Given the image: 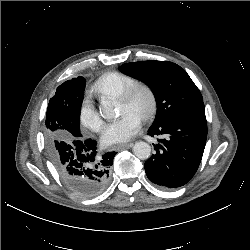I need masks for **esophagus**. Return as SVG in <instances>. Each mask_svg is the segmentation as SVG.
<instances>
[{
    "label": "esophagus",
    "mask_w": 250,
    "mask_h": 250,
    "mask_svg": "<svg viewBox=\"0 0 250 250\" xmlns=\"http://www.w3.org/2000/svg\"><path fill=\"white\" fill-rule=\"evenodd\" d=\"M133 146V143H126V144H120V145H117L115 146L113 149L115 151H119V150H122V149H126V148H130Z\"/></svg>",
    "instance_id": "1"
}]
</instances>
